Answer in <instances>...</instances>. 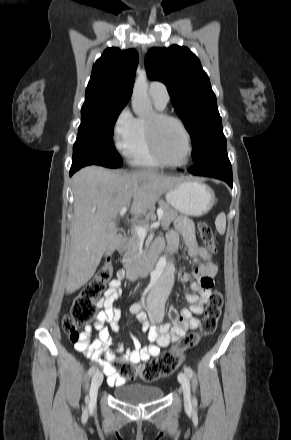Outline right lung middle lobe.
<instances>
[{"instance_id": "right-lung-middle-lobe-1", "label": "right lung middle lobe", "mask_w": 291, "mask_h": 440, "mask_svg": "<svg viewBox=\"0 0 291 440\" xmlns=\"http://www.w3.org/2000/svg\"><path fill=\"white\" fill-rule=\"evenodd\" d=\"M125 105L112 102L83 104L81 124L73 145V162L87 161L110 168L121 166L122 158L114 146L113 130Z\"/></svg>"}]
</instances>
